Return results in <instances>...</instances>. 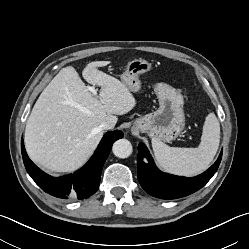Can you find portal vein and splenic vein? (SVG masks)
<instances>
[{"mask_svg": "<svg viewBox=\"0 0 249 249\" xmlns=\"http://www.w3.org/2000/svg\"><path fill=\"white\" fill-rule=\"evenodd\" d=\"M89 90L93 93L95 97H97V92L94 87H90Z\"/></svg>", "mask_w": 249, "mask_h": 249, "instance_id": "1", "label": "portal vein and splenic vein"}]
</instances>
